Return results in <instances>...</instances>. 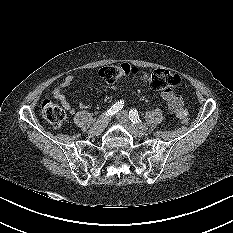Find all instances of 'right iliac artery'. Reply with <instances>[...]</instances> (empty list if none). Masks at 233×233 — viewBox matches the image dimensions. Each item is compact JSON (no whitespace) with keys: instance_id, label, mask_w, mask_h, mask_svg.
I'll list each match as a JSON object with an SVG mask.
<instances>
[{"instance_id":"right-iliac-artery-1","label":"right iliac artery","mask_w":233,"mask_h":233,"mask_svg":"<svg viewBox=\"0 0 233 233\" xmlns=\"http://www.w3.org/2000/svg\"><path fill=\"white\" fill-rule=\"evenodd\" d=\"M123 106H124V101L120 100L116 102L114 105H112L104 115L111 116L119 112L123 108Z\"/></svg>"}]
</instances>
